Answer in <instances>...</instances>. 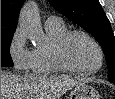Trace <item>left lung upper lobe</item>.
Returning a JSON list of instances; mask_svg holds the SVG:
<instances>
[{
    "mask_svg": "<svg viewBox=\"0 0 115 99\" xmlns=\"http://www.w3.org/2000/svg\"><path fill=\"white\" fill-rule=\"evenodd\" d=\"M61 14L95 37L106 57L109 81L115 84V37L99 0H49Z\"/></svg>",
    "mask_w": 115,
    "mask_h": 99,
    "instance_id": "1",
    "label": "left lung upper lobe"
}]
</instances>
